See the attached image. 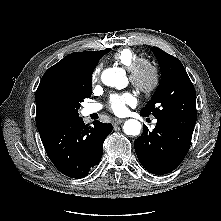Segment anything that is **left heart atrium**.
<instances>
[{"mask_svg":"<svg viewBox=\"0 0 221 221\" xmlns=\"http://www.w3.org/2000/svg\"><path fill=\"white\" fill-rule=\"evenodd\" d=\"M135 98L130 93L115 94L110 97V109L116 115H124L127 107L135 104Z\"/></svg>","mask_w":221,"mask_h":221,"instance_id":"39dd6f15","label":"left heart atrium"}]
</instances>
